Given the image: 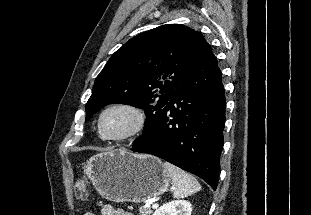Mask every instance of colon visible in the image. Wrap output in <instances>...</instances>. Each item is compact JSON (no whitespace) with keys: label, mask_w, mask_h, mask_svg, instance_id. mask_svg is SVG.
I'll return each mask as SVG.
<instances>
[{"label":"colon","mask_w":311,"mask_h":215,"mask_svg":"<svg viewBox=\"0 0 311 215\" xmlns=\"http://www.w3.org/2000/svg\"><path fill=\"white\" fill-rule=\"evenodd\" d=\"M75 196L79 200H86L88 197V185L86 180H79L74 188Z\"/></svg>","instance_id":"obj_1"}]
</instances>
